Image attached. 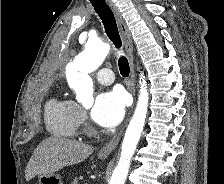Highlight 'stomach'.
Segmentation results:
<instances>
[{"label": "stomach", "mask_w": 224, "mask_h": 184, "mask_svg": "<svg viewBox=\"0 0 224 184\" xmlns=\"http://www.w3.org/2000/svg\"><path fill=\"white\" fill-rule=\"evenodd\" d=\"M104 159V157H100ZM39 184H63L61 177L57 174H39L38 175Z\"/></svg>", "instance_id": "stomach-1"}]
</instances>
